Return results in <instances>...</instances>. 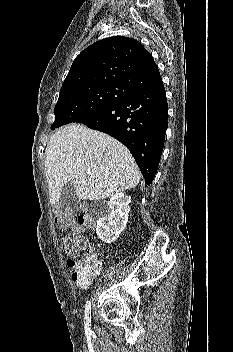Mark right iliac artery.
I'll return each instance as SVG.
<instances>
[{
    "mask_svg": "<svg viewBox=\"0 0 233 352\" xmlns=\"http://www.w3.org/2000/svg\"><path fill=\"white\" fill-rule=\"evenodd\" d=\"M84 322H85V329L90 330V322H91V302L87 301L84 310Z\"/></svg>",
    "mask_w": 233,
    "mask_h": 352,
    "instance_id": "82829eb1",
    "label": "right iliac artery"
}]
</instances>
